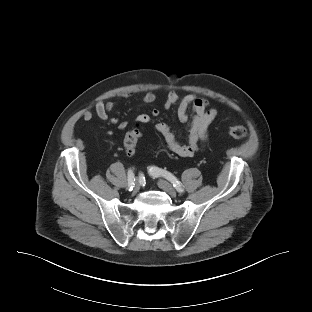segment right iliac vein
Segmentation results:
<instances>
[{
  "label": "right iliac vein",
  "instance_id": "right-iliac-vein-1",
  "mask_svg": "<svg viewBox=\"0 0 312 312\" xmlns=\"http://www.w3.org/2000/svg\"><path fill=\"white\" fill-rule=\"evenodd\" d=\"M139 188H140V184L138 181H136L134 184L133 194H136L138 192Z\"/></svg>",
  "mask_w": 312,
  "mask_h": 312
}]
</instances>
